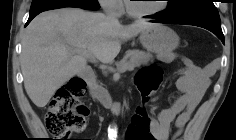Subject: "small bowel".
Listing matches in <instances>:
<instances>
[{
    "label": "small bowel",
    "mask_w": 236,
    "mask_h": 140,
    "mask_svg": "<svg viewBox=\"0 0 236 140\" xmlns=\"http://www.w3.org/2000/svg\"><path fill=\"white\" fill-rule=\"evenodd\" d=\"M180 59L184 66L180 70L176 86L181 94L169 108L151 119L150 129L154 140H173L181 135L211 84L214 74L212 65L201 68L187 57L181 56ZM173 124L177 128L174 135Z\"/></svg>",
    "instance_id": "obj_1"
}]
</instances>
